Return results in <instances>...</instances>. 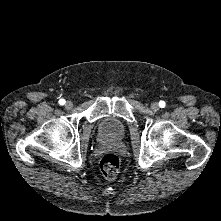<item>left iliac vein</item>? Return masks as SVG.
<instances>
[{
    "label": "left iliac vein",
    "mask_w": 221,
    "mask_h": 221,
    "mask_svg": "<svg viewBox=\"0 0 221 221\" xmlns=\"http://www.w3.org/2000/svg\"><path fill=\"white\" fill-rule=\"evenodd\" d=\"M150 108L153 110V111H158L159 110V104L157 102H153L150 106Z\"/></svg>",
    "instance_id": "obj_1"
}]
</instances>
